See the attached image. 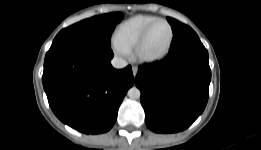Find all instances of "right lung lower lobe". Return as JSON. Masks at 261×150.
Segmentation results:
<instances>
[{
  "label": "right lung lower lobe",
  "instance_id": "98d812e1",
  "mask_svg": "<svg viewBox=\"0 0 261 150\" xmlns=\"http://www.w3.org/2000/svg\"><path fill=\"white\" fill-rule=\"evenodd\" d=\"M110 47L79 43L51 47L42 76L54 114L65 124L85 133L111 129L119 106L134 84L131 66L116 70Z\"/></svg>",
  "mask_w": 261,
  "mask_h": 150
}]
</instances>
